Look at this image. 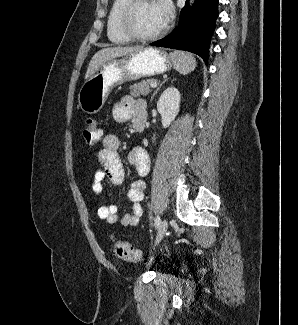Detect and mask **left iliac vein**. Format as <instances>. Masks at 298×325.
<instances>
[{
	"mask_svg": "<svg viewBox=\"0 0 298 325\" xmlns=\"http://www.w3.org/2000/svg\"><path fill=\"white\" fill-rule=\"evenodd\" d=\"M168 228V221L166 219L162 220L158 226L155 245H158L162 238L164 237Z\"/></svg>",
	"mask_w": 298,
	"mask_h": 325,
	"instance_id": "4c4485c4",
	"label": "left iliac vein"
}]
</instances>
